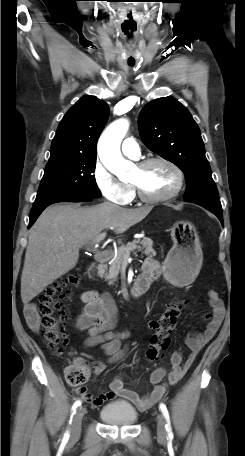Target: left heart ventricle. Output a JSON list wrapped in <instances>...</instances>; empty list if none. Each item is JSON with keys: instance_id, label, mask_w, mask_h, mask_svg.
Wrapping results in <instances>:
<instances>
[{"instance_id": "obj_1", "label": "left heart ventricle", "mask_w": 245, "mask_h": 456, "mask_svg": "<svg viewBox=\"0 0 245 456\" xmlns=\"http://www.w3.org/2000/svg\"><path fill=\"white\" fill-rule=\"evenodd\" d=\"M131 182L138 184L147 195L162 196L175 187L177 178L169 166L154 163L145 169L136 167Z\"/></svg>"}]
</instances>
